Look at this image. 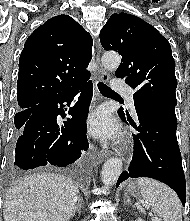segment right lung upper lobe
<instances>
[{
    "label": "right lung upper lobe",
    "mask_w": 190,
    "mask_h": 221,
    "mask_svg": "<svg viewBox=\"0 0 190 221\" xmlns=\"http://www.w3.org/2000/svg\"><path fill=\"white\" fill-rule=\"evenodd\" d=\"M92 46L90 34L68 15H58L39 26L26 40L19 59L20 109L32 110L43 100L89 81L86 68Z\"/></svg>",
    "instance_id": "right-lung-upper-lobe-1"
}]
</instances>
